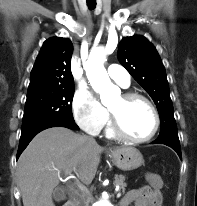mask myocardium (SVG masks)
I'll return each instance as SVG.
<instances>
[{
    "label": "myocardium",
    "mask_w": 197,
    "mask_h": 206,
    "mask_svg": "<svg viewBox=\"0 0 197 206\" xmlns=\"http://www.w3.org/2000/svg\"><path fill=\"white\" fill-rule=\"evenodd\" d=\"M122 98L124 101L140 100V101L145 102L150 107V109L153 113L154 127L148 136L141 137V138L134 137V136L130 135L123 128L118 116L112 110L109 109L111 128H112L114 134L120 138L125 139V140L137 142V143H143V142L150 141L156 135V133L158 132L159 127H160V115H159V112H158L156 106L148 97H146L140 93H137V92H126L122 95Z\"/></svg>",
    "instance_id": "f54148a6"
}]
</instances>
